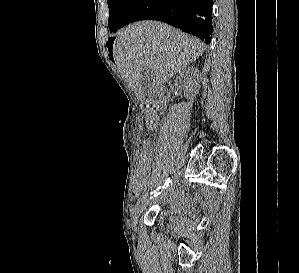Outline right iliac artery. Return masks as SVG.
<instances>
[{
    "instance_id": "1",
    "label": "right iliac artery",
    "mask_w": 299,
    "mask_h": 273,
    "mask_svg": "<svg viewBox=\"0 0 299 273\" xmlns=\"http://www.w3.org/2000/svg\"><path fill=\"white\" fill-rule=\"evenodd\" d=\"M170 182H171V178L169 177V178H167V180L165 181V183H164V185H163L162 187H158L156 190H154L153 192H151V193L149 194L150 198H152V196H157V195H159V194H160V190H161V189H164V188H166V187H168V185H169ZM147 196H148V195H147ZM145 198H147V197H146V196H143L141 199H139L138 203H139L140 201H142L143 199H145Z\"/></svg>"
}]
</instances>
